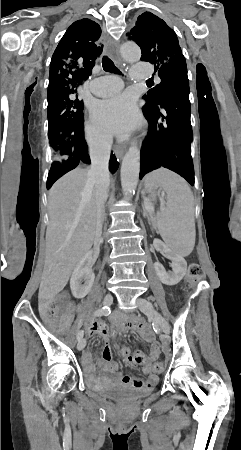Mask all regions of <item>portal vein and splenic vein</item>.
I'll return each mask as SVG.
<instances>
[{
    "mask_svg": "<svg viewBox=\"0 0 241 450\" xmlns=\"http://www.w3.org/2000/svg\"><path fill=\"white\" fill-rule=\"evenodd\" d=\"M142 205H143V207L147 208L146 209L147 213H155V208H154L153 202H146L145 201V202H143Z\"/></svg>",
    "mask_w": 241,
    "mask_h": 450,
    "instance_id": "1",
    "label": "portal vein and splenic vein"
}]
</instances>
